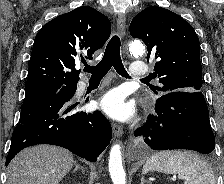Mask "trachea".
Segmentation results:
<instances>
[{"label":"trachea","instance_id":"3493384b","mask_svg":"<svg viewBox=\"0 0 224 184\" xmlns=\"http://www.w3.org/2000/svg\"><path fill=\"white\" fill-rule=\"evenodd\" d=\"M120 46V38L114 35L106 47L102 60L96 66L85 65L84 71L91 73L92 79H102L113 66L119 75L128 78L120 56Z\"/></svg>","mask_w":224,"mask_h":184}]
</instances>
